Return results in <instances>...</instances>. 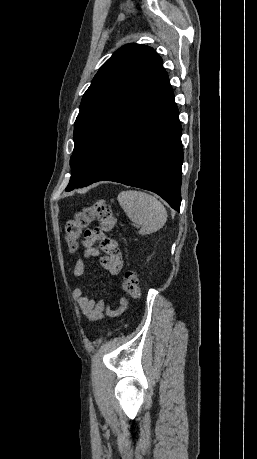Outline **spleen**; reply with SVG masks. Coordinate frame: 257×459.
Instances as JSON below:
<instances>
[{"mask_svg":"<svg viewBox=\"0 0 257 459\" xmlns=\"http://www.w3.org/2000/svg\"><path fill=\"white\" fill-rule=\"evenodd\" d=\"M118 202L131 221L141 226L139 234L147 235L161 229L167 220L164 205L154 196L137 190L122 191Z\"/></svg>","mask_w":257,"mask_h":459,"instance_id":"obj_1","label":"spleen"}]
</instances>
